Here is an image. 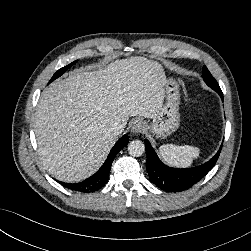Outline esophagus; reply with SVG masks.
<instances>
[{
  "instance_id": "obj_1",
  "label": "esophagus",
  "mask_w": 251,
  "mask_h": 251,
  "mask_svg": "<svg viewBox=\"0 0 251 251\" xmlns=\"http://www.w3.org/2000/svg\"><path fill=\"white\" fill-rule=\"evenodd\" d=\"M145 124L141 120H135L131 125V132L133 134H140L144 131Z\"/></svg>"
}]
</instances>
